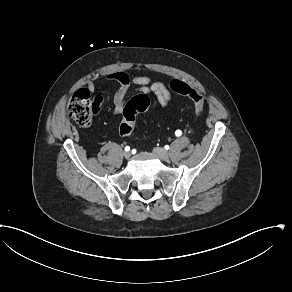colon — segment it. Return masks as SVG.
Instances as JSON below:
<instances>
[{
    "instance_id": "1",
    "label": "colon",
    "mask_w": 292,
    "mask_h": 292,
    "mask_svg": "<svg viewBox=\"0 0 292 292\" xmlns=\"http://www.w3.org/2000/svg\"><path fill=\"white\" fill-rule=\"evenodd\" d=\"M169 86L178 94L191 97L195 103V113L201 116L204 112V98L200 94L194 93L189 85L179 79H171ZM102 104V99L92 97L86 89H78L70 97L66 112L68 116L81 126H90L94 115H96ZM157 103L152 101L145 94H137L128 101L123 109L122 120L118 125L120 134L129 136L135 130V122L138 113L154 109Z\"/></svg>"
}]
</instances>
